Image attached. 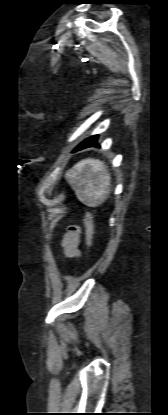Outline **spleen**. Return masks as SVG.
I'll use <instances>...</instances> for the list:
<instances>
[{"label":"spleen","mask_w":168,"mask_h":415,"mask_svg":"<svg viewBox=\"0 0 168 415\" xmlns=\"http://www.w3.org/2000/svg\"><path fill=\"white\" fill-rule=\"evenodd\" d=\"M65 179L84 204L95 207L107 199L111 177L104 162L84 159L65 173Z\"/></svg>","instance_id":"obj_1"}]
</instances>
